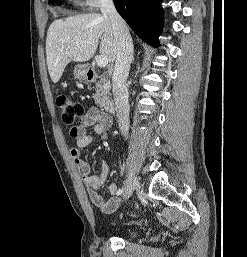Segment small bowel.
Here are the masks:
<instances>
[{
	"mask_svg": "<svg viewBox=\"0 0 247 257\" xmlns=\"http://www.w3.org/2000/svg\"><path fill=\"white\" fill-rule=\"evenodd\" d=\"M111 126V120L97 108H90L86 111L76 126L69 130V134L76 140V146L71 149L72 159L78 169L81 178L88 189L90 201L97 206L103 213L110 214L119 207L118 186L111 183L108 190L111 197L105 199L98 190L106 182L110 166L103 161L101 164V172L97 175H90V167L82 157V149L90 145L93 141V135L87 132L88 128L93 129V134L106 137V132Z\"/></svg>",
	"mask_w": 247,
	"mask_h": 257,
	"instance_id": "1",
	"label": "small bowel"
}]
</instances>
